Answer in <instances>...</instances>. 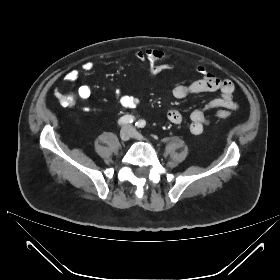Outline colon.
<instances>
[{
	"label": "colon",
	"instance_id": "obj_1",
	"mask_svg": "<svg viewBox=\"0 0 280 280\" xmlns=\"http://www.w3.org/2000/svg\"><path fill=\"white\" fill-rule=\"evenodd\" d=\"M58 98H59V101L63 104H70L74 100V96L72 93L63 94V95L59 96ZM217 116L222 119L229 117L228 114L225 112H219V113H217Z\"/></svg>",
	"mask_w": 280,
	"mask_h": 280
}]
</instances>
